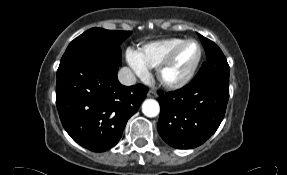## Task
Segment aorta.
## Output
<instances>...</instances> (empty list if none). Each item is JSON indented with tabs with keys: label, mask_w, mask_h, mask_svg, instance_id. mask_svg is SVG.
Returning <instances> with one entry per match:
<instances>
[{
	"label": "aorta",
	"mask_w": 287,
	"mask_h": 175,
	"mask_svg": "<svg viewBox=\"0 0 287 175\" xmlns=\"http://www.w3.org/2000/svg\"><path fill=\"white\" fill-rule=\"evenodd\" d=\"M142 112L147 117H155L160 112L159 103L154 99H147L142 104Z\"/></svg>",
	"instance_id": "1"
}]
</instances>
